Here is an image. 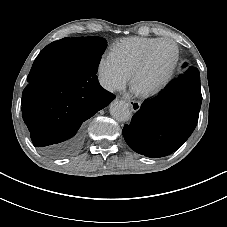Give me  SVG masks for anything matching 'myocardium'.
Instances as JSON below:
<instances>
[{"label": "myocardium", "instance_id": "obj_1", "mask_svg": "<svg viewBox=\"0 0 227 227\" xmlns=\"http://www.w3.org/2000/svg\"><path fill=\"white\" fill-rule=\"evenodd\" d=\"M164 42H169L172 43L175 48H176V55L175 58L173 59L170 67L168 68L166 74L164 75V77L161 79V81L156 84L154 87H152L149 90L146 91H138L135 89L134 87V80L135 77L137 76L138 73H140L149 63L150 58L153 54V51L155 50V48ZM180 58H181V53H180V47L178 45V43L171 39V38H160L159 40H157L156 42H154L144 53L143 57L136 63V65L133 67V69L130 72L129 75V85L130 87L136 92L137 95L141 96V97H153L158 95L160 92H162L166 86L170 83L176 69L177 66L180 62Z\"/></svg>", "mask_w": 227, "mask_h": 227}]
</instances>
